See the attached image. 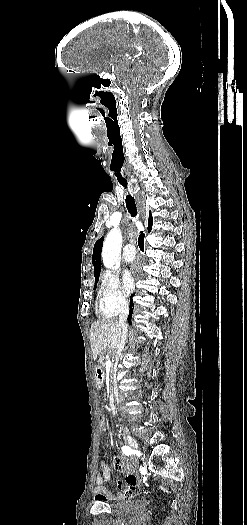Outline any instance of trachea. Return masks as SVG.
Masks as SVG:
<instances>
[{
    "label": "trachea",
    "instance_id": "3493384b",
    "mask_svg": "<svg viewBox=\"0 0 247 525\" xmlns=\"http://www.w3.org/2000/svg\"><path fill=\"white\" fill-rule=\"evenodd\" d=\"M119 183L124 187L127 188V182L126 181H119ZM126 208L129 211L130 215L133 218L137 217V209L135 204V199L132 195L126 196ZM144 240H145V234L143 232H140V235L138 237V246L142 252H144Z\"/></svg>",
    "mask_w": 247,
    "mask_h": 525
}]
</instances>
